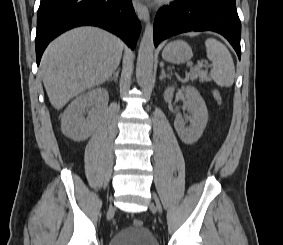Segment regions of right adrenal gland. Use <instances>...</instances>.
<instances>
[{"mask_svg": "<svg viewBox=\"0 0 283 245\" xmlns=\"http://www.w3.org/2000/svg\"><path fill=\"white\" fill-rule=\"evenodd\" d=\"M119 72H120L119 69H117V70L113 73V76L110 77L107 81H108V82H111L112 80L117 81Z\"/></svg>", "mask_w": 283, "mask_h": 245, "instance_id": "1", "label": "right adrenal gland"}]
</instances>
